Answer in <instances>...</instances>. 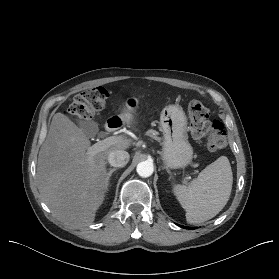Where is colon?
Masks as SVG:
<instances>
[{"instance_id": "obj_1", "label": "colon", "mask_w": 279, "mask_h": 279, "mask_svg": "<svg viewBox=\"0 0 279 279\" xmlns=\"http://www.w3.org/2000/svg\"><path fill=\"white\" fill-rule=\"evenodd\" d=\"M109 98L104 87H94L78 93L71 103L68 113L78 119H89L105 108ZM188 117L192 135L203 140L209 150L226 147L227 136L222 123L209 119L208 109L198 100L188 104Z\"/></svg>"}]
</instances>
